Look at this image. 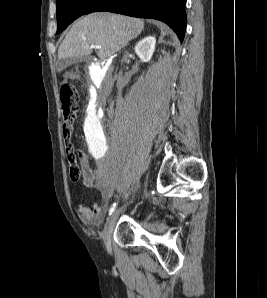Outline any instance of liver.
<instances>
[{
	"mask_svg": "<svg viewBox=\"0 0 267 298\" xmlns=\"http://www.w3.org/2000/svg\"><path fill=\"white\" fill-rule=\"evenodd\" d=\"M144 21L108 12L91 13L79 19L69 30L58 49V59L88 56L92 45H100V59L111 57L136 38Z\"/></svg>",
	"mask_w": 267,
	"mask_h": 298,
	"instance_id": "6515ba94",
	"label": "liver"
}]
</instances>
